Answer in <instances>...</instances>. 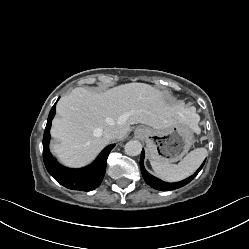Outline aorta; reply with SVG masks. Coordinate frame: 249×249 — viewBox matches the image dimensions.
Instances as JSON below:
<instances>
[{
    "instance_id": "1",
    "label": "aorta",
    "mask_w": 249,
    "mask_h": 249,
    "mask_svg": "<svg viewBox=\"0 0 249 249\" xmlns=\"http://www.w3.org/2000/svg\"><path fill=\"white\" fill-rule=\"evenodd\" d=\"M125 153L129 156H137L142 151V144L137 140H131L125 144Z\"/></svg>"
}]
</instances>
